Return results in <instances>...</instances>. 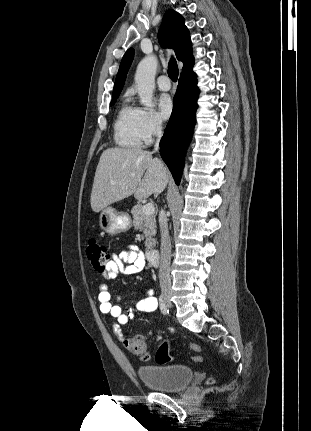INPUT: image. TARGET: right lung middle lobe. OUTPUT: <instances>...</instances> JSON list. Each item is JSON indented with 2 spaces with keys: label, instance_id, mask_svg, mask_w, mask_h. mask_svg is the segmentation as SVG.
Returning <instances> with one entry per match:
<instances>
[{
  "label": "right lung middle lobe",
  "instance_id": "right-lung-middle-lobe-1",
  "mask_svg": "<svg viewBox=\"0 0 311 431\" xmlns=\"http://www.w3.org/2000/svg\"><path fill=\"white\" fill-rule=\"evenodd\" d=\"M117 98H118V97H114V98H112V101H111L110 105H114V103L116 102Z\"/></svg>",
  "mask_w": 311,
  "mask_h": 431
}]
</instances>
